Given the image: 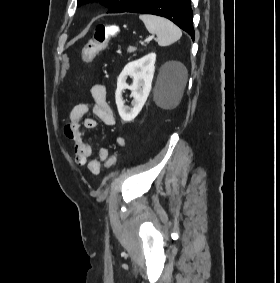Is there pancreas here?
I'll use <instances>...</instances> for the list:
<instances>
[{"instance_id": "1", "label": "pancreas", "mask_w": 280, "mask_h": 283, "mask_svg": "<svg viewBox=\"0 0 280 283\" xmlns=\"http://www.w3.org/2000/svg\"><path fill=\"white\" fill-rule=\"evenodd\" d=\"M135 51H136V48H135V47H132V46L128 47V49H127V52H128V53H133V52H135Z\"/></svg>"}]
</instances>
